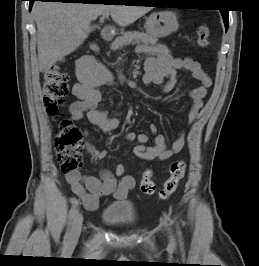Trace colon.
I'll use <instances>...</instances> for the list:
<instances>
[{
	"label": "colon",
	"instance_id": "obj_1",
	"mask_svg": "<svg viewBox=\"0 0 259 266\" xmlns=\"http://www.w3.org/2000/svg\"><path fill=\"white\" fill-rule=\"evenodd\" d=\"M210 31L207 25H200L196 32L197 43L200 47H207L209 44ZM69 76L60 67L51 68L45 75L43 84V101L47 112L55 116L64 104V99L69 92ZM57 161L65 174L78 172L82 166V150L84 140L80 130L70 121L64 119L60 122L59 132L55 140ZM185 161H175L169 169V176L164 181L159 191L161 199L169 198L177 189L179 182L185 175ZM117 175L121 176L125 172L123 165L115 168ZM156 186L153 181V171L146 169L141 177L140 190L142 193L150 195L155 192Z\"/></svg>",
	"mask_w": 259,
	"mask_h": 266
}]
</instances>
